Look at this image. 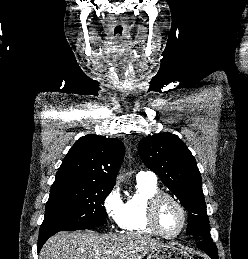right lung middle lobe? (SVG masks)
Masks as SVG:
<instances>
[{
    "label": "right lung middle lobe",
    "mask_w": 248,
    "mask_h": 259,
    "mask_svg": "<svg viewBox=\"0 0 248 259\" xmlns=\"http://www.w3.org/2000/svg\"><path fill=\"white\" fill-rule=\"evenodd\" d=\"M112 189L113 186L95 184L52 186L39 235L105 224L103 205Z\"/></svg>",
    "instance_id": "obj_1"
}]
</instances>
